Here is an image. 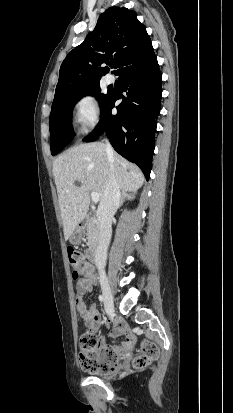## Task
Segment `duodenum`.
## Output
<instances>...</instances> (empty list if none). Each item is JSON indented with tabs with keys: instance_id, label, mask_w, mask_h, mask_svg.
Returning a JSON list of instances; mask_svg holds the SVG:
<instances>
[{
	"instance_id": "obj_1",
	"label": "duodenum",
	"mask_w": 233,
	"mask_h": 413,
	"mask_svg": "<svg viewBox=\"0 0 233 413\" xmlns=\"http://www.w3.org/2000/svg\"><path fill=\"white\" fill-rule=\"evenodd\" d=\"M78 226H79V228H84V226H85V222L84 221H81L79 224H78ZM96 248L95 247H93V248H91V250L89 251V257H90V259L91 260H95L96 259Z\"/></svg>"
}]
</instances>
